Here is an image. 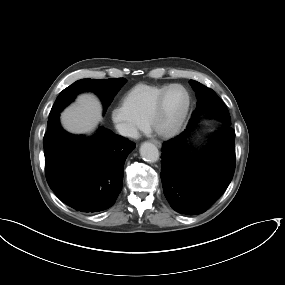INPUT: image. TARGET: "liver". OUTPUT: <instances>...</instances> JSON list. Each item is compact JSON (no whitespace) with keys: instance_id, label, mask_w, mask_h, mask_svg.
<instances>
[{"instance_id":"1","label":"liver","mask_w":285,"mask_h":285,"mask_svg":"<svg viewBox=\"0 0 285 285\" xmlns=\"http://www.w3.org/2000/svg\"><path fill=\"white\" fill-rule=\"evenodd\" d=\"M102 120V106L93 94H82L61 114V124L73 134H90Z\"/></svg>"}]
</instances>
